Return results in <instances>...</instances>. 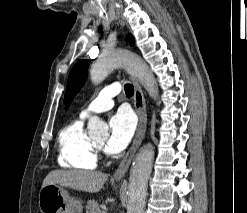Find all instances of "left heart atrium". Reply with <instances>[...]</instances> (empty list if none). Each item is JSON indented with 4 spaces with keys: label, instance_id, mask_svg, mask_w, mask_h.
Wrapping results in <instances>:
<instances>
[{
    "label": "left heart atrium",
    "instance_id": "39dd6f15",
    "mask_svg": "<svg viewBox=\"0 0 247 213\" xmlns=\"http://www.w3.org/2000/svg\"><path fill=\"white\" fill-rule=\"evenodd\" d=\"M110 136L106 142L107 152L116 154L124 150L131 141L136 121L132 113L127 110H119L109 120Z\"/></svg>",
    "mask_w": 247,
    "mask_h": 213
}]
</instances>
